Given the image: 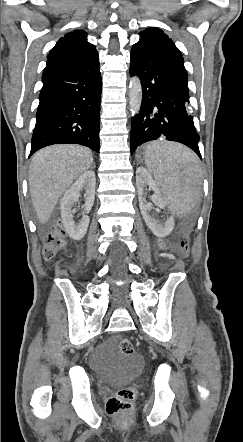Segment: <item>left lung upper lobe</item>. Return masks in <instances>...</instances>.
I'll list each match as a JSON object with an SVG mask.
<instances>
[{"label": "left lung upper lobe", "mask_w": 243, "mask_h": 442, "mask_svg": "<svg viewBox=\"0 0 243 442\" xmlns=\"http://www.w3.org/2000/svg\"><path fill=\"white\" fill-rule=\"evenodd\" d=\"M140 36L141 37H143V36H155L157 38H160V39H162V40H164V41L174 45L172 40L169 39L168 36L166 34H164V32L162 30H160L158 28H155V27L149 28V29H146V30L140 32Z\"/></svg>", "instance_id": "obj_1"}]
</instances>
